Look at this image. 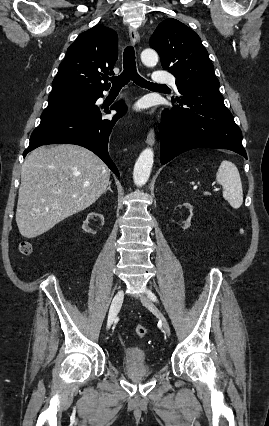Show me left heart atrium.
Listing matches in <instances>:
<instances>
[{"label":"left heart atrium","instance_id":"1","mask_svg":"<svg viewBox=\"0 0 269 426\" xmlns=\"http://www.w3.org/2000/svg\"><path fill=\"white\" fill-rule=\"evenodd\" d=\"M140 106H141V107H143V106H144V104H141Z\"/></svg>","mask_w":269,"mask_h":426}]
</instances>
